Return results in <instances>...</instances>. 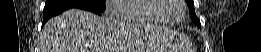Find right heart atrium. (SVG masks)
I'll return each instance as SVG.
<instances>
[{
    "label": "right heart atrium",
    "instance_id": "1",
    "mask_svg": "<svg viewBox=\"0 0 261 52\" xmlns=\"http://www.w3.org/2000/svg\"><path fill=\"white\" fill-rule=\"evenodd\" d=\"M125 0H107L105 3L106 13L109 16H116L119 15L118 12L115 10V7L121 4Z\"/></svg>",
    "mask_w": 261,
    "mask_h": 52
}]
</instances>
